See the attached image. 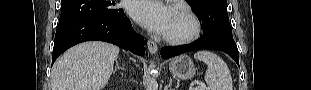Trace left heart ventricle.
<instances>
[{"label":"left heart ventricle","mask_w":311,"mask_h":90,"mask_svg":"<svg viewBox=\"0 0 311 90\" xmlns=\"http://www.w3.org/2000/svg\"><path fill=\"white\" fill-rule=\"evenodd\" d=\"M189 30L188 22L176 11L173 12L169 27L165 34L180 35Z\"/></svg>","instance_id":"obj_1"}]
</instances>
